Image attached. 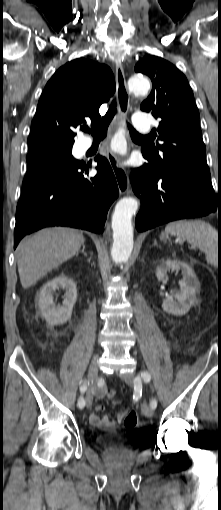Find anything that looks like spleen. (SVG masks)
Instances as JSON below:
<instances>
[{
    "mask_svg": "<svg viewBox=\"0 0 221 510\" xmlns=\"http://www.w3.org/2000/svg\"><path fill=\"white\" fill-rule=\"evenodd\" d=\"M165 233L185 239L193 247H198L206 254L209 263L217 260V231L202 220H179L169 223Z\"/></svg>",
    "mask_w": 221,
    "mask_h": 510,
    "instance_id": "spleen-1",
    "label": "spleen"
}]
</instances>
